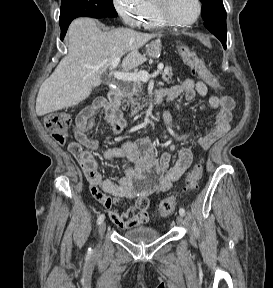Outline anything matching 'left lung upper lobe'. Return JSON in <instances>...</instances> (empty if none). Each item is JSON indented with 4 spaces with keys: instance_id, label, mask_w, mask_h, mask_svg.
Here are the masks:
<instances>
[{
    "instance_id": "left-lung-upper-lobe-1",
    "label": "left lung upper lobe",
    "mask_w": 273,
    "mask_h": 288,
    "mask_svg": "<svg viewBox=\"0 0 273 288\" xmlns=\"http://www.w3.org/2000/svg\"><path fill=\"white\" fill-rule=\"evenodd\" d=\"M202 2V18L207 29L225 28L226 11L222 0H200Z\"/></svg>"
}]
</instances>
